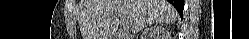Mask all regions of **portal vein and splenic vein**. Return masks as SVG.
<instances>
[{"mask_svg":"<svg viewBox=\"0 0 249 39\" xmlns=\"http://www.w3.org/2000/svg\"><path fill=\"white\" fill-rule=\"evenodd\" d=\"M121 19H122V18H121ZM124 26H125V27H128V24H125Z\"/></svg>","mask_w":249,"mask_h":39,"instance_id":"obj_1","label":"portal vein and splenic vein"}]
</instances>
